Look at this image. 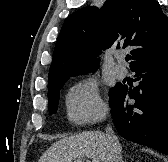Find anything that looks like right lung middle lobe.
<instances>
[{
	"mask_svg": "<svg viewBox=\"0 0 168 162\" xmlns=\"http://www.w3.org/2000/svg\"><path fill=\"white\" fill-rule=\"evenodd\" d=\"M65 80H61V81H57L54 82L50 85H48V109L50 114H54L57 111L58 108V102H59V93H60V89L63 86V83L66 81ZM119 85H116L115 87H113L110 90L109 96H110V102L113 100L117 90H118Z\"/></svg>",
	"mask_w": 168,
	"mask_h": 162,
	"instance_id": "right-lung-middle-lobe-1",
	"label": "right lung middle lobe"
}]
</instances>
